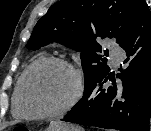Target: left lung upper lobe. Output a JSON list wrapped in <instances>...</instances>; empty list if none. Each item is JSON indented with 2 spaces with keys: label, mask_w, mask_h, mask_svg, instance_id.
<instances>
[{
  "label": "left lung upper lobe",
  "mask_w": 151,
  "mask_h": 131,
  "mask_svg": "<svg viewBox=\"0 0 151 131\" xmlns=\"http://www.w3.org/2000/svg\"><path fill=\"white\" fill-rule=\"evenodd\" d=\"M145 0H61L37 22L26 45L30 50L56 41L81 52L85 91L110 71L97 40L126 42ZM108 56V51H104Z\"/></svg>",
  "instance_id": "obj_1"
}]
</instances>
